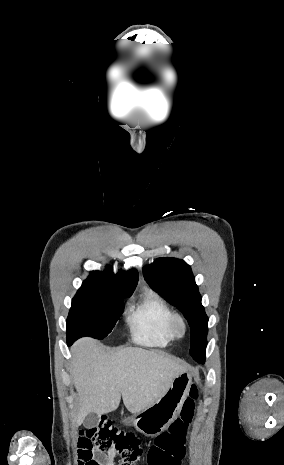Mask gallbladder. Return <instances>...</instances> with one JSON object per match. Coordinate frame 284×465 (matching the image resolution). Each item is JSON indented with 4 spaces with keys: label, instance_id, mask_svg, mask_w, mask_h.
<instances>
[{
    "label": "gallbladder",
    "instance_id": "bac80fb5",
    "mask_svg": "<svg viewBox=\"0 0 284 465\" xmlns=\"http://www.w3.org/2000/svg\"><path fill=\"white\" fill-rule=\"evenodd\" d=\"M99 423V417L98 415H95V413H89L88 417H86V419H84V427H86V429H93V427H97Z\"/></svg>",
    "mask_w": 284,
    "mask_h": 465
}]
</instances>
